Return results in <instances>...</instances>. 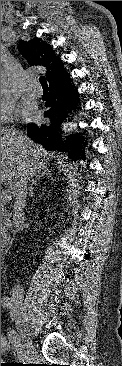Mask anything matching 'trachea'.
<instances>
[{"label":"trachea","mask_w":122,"mask_h":366,"mask_svg":"<svg viewBox=\"0 0 122 366\" xmlns=\"http://www.w3.org/2000/svg\"><path fill=\"white\" fill-rule=\"evenodd\" d=\"M39 81H40L43 88H47V80H46L45 76H41Z\"/></svg>","instance_id":"trachea-1"}]
</instances>
